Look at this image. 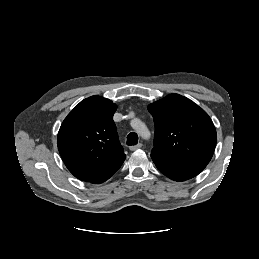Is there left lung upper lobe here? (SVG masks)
Returning a JSON list of instances; mask_svg holds the SVG:
<instances>
[{"mask_svg": "<svg viewBox=\"0 0 259 259\" xmlns=\"http://www.w3.org/2000/svg\"><path fill=\"white\" fill-rule=\"evenodd\" d=\"M154 118L152 153L179 161L209 163L217 135L208 114L193 101L170 94L148 106Z\"/></svg>", "mask_w": 259, "mask_h": 259, "instance_id": "obj_1", "label": "left lung upper lobe"}]
</instances>
